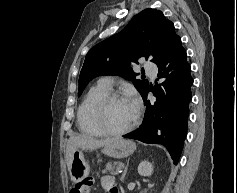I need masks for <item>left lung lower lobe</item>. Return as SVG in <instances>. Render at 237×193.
<instances>
[{
  "label": "left lung lower lobe",
  "mask_w": 237,
  "mask_h": 193,
  "mask_svg": "<svg viewBox=\"0 0 237 193\" xmlns=\"http://www.w3.org/2000/svg\"><path fill=\"white\" fill-rule=\"evenodd\" d=\"M157 66L158 79L163 82L148 86L144 91L142 98L147 110L143 123L123 137L162 144L177 164L187 134L188 104L192 97L190 87L193 84L181 39L171 46ZM150 91L156 97L154 102L147 100Z\"/></svg>",
  "instance_id": "1"
}]
</instances>
